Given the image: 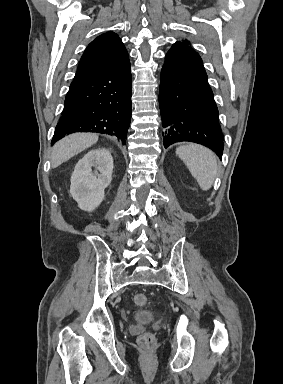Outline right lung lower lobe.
<instances>
[{"label": "right lung lower lobe", "mask_w": 283, "mask_h": 384, "mask_svg": "<svg viewBox=\"0 0 283 384\" xmlns=\"http://www.w3.org/2000/svg\"><path fill=\"white\" fill-rule=\"evenodd\" d=\"M130 62L108 71L73 80L51 144L74 132L116 136L125 144L131 121Z\"/></svg>", "instance_id": "1"}]
</instances>
